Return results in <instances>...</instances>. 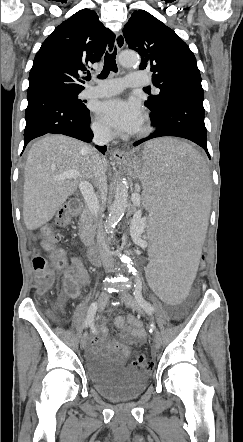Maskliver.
Returning <instances> with one entry per match:
<instances>
[{
  "mask_svg": "<svg viewBox=\"0 0 243 442\" xmlns=\"http://www.w3.org/2000/svg\"><path fill=\"white\" fill-rule=\"evenodd\" d=\"M87 144L64 135H46L29 150L25 164L23 219L28 230L49 222L82 181L94 180L93 155ZM104 171L108 161L102 157ZM76 170V179L54 176Z\"/></svg>",
  "mask_w": 243,
  "mask_h": 442,
  "instance_id": "1",
  "label": "liver"
}]
</instances>
